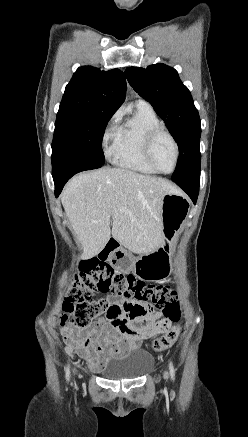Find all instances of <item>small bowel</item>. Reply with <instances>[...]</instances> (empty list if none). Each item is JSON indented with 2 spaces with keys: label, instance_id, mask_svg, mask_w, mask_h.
<instances>
[{
  "label": "small bowel",
  "instance_id": "obj_1",
  "mask_svg": "<svg viewBox=\"0 0 248 437\" xmlns=\"http://www.w3.org/2000/svg\"><path fill=\"white\" fill-rule=\"evenodd\" d=\"M105 310L107 322L88 329L64 327L62 334L71 348L82 352L94 370H101L110 358H119L136 350L143 340L164 332L162 307L157 310L129 294H110Z\"/></svg>",
  "mask_w": 248,
  "mask_h": 437
}]
</instances>
